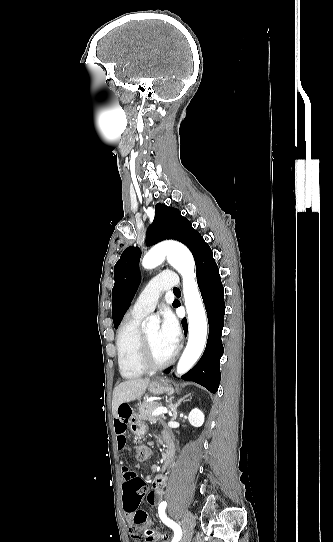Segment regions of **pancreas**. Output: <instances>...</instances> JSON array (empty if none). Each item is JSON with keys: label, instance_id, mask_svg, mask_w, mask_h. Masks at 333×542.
Returning <instances> with one entry per match:
<instances>
[{"label": "pancreas", "instance_id": "pancreas-1", "mask_svg": "<svg viewBox=\"0 0 333 542\" xmlns=\"http://www.w3.org/2000/svg\"><path fill=\"white\" fill-rule=\"evenodd\" d=\"M160 406H162V404H159V402H143V404H139L138 412L135 416L138 420H148V422H157V420H161V418L166 420L163 414H161V416H151V412H154V410L160 408Z\"/></svg>", "mask_w": 333, "mask_h": 542}]
</instances>
